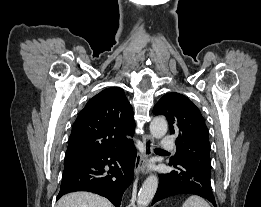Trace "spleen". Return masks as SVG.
<instances>
[{
    "instance_id": "spleen-1",
    "label": "spleen",
    "mask_w": 261,
    "mask_h": 207,
    "mask_svg": "<svg viewBox=\"0 0 261 207\" xmlns=\"http://www.w3.org/2000/svg\"><path fill=\"white\" fill-rule=\"evenodd\" d=\"M182 207H210V205L199 196H190L183 203Z\"/></svg>"
}]
</instances>
